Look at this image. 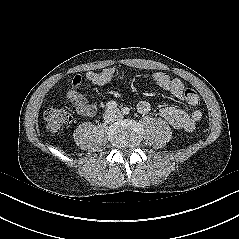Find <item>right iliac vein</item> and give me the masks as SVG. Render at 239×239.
<instances>
[{
    "mask_svg": "<svg viewBox=\"0 0 239 239\" xmlns=\"http://www.w3.org/2000/svg\"><path fill=\"white\" fill-rule=\"evenodd\" d=\"M105 120H106V122H111L113 120L112 115L110 113H107L105 116Z\"/></svg>",
    "mask_w": 239,
    "mask_h": 239,
    "instance_id": "1",
    "label": "right iliac vein"
}]
</instances>
